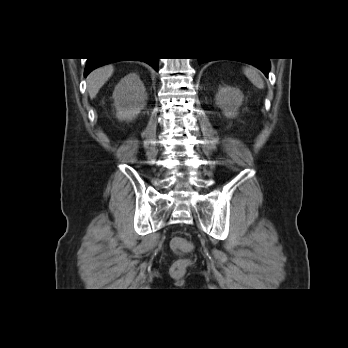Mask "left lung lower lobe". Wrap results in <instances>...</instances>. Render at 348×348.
Segmentation results:
<instances>
[{
    "instance_id": "0a47b994",
    "label": "left lung lower lobe",
    "mask_w": 348,
    "mask_h": 348,
    "mask_svg": "<svg viewBox=\"0 0 348 348\" xmlns=\"http://www.w3.org/2000/svg\"><path fill=\"white\" fill-rule=\"evenodd\" d=\"M211 60L212 59L199 58L198 62H199V64H201V63L208 62ZM234 60H238V61H242V62L251 64V65L259 68L266 75V77H268V72H269V68H270L269 59L258 58V59H234Z\"/></svg>"
}]
</instances>
